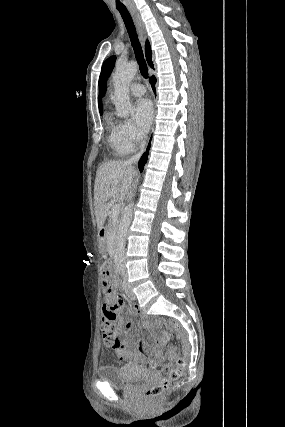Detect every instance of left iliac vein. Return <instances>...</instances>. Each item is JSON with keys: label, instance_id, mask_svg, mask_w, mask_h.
<instances>
[{"label": "left iliac vein", "instance_id": "1", "mask_svg": "<svg viewBox=\"0 0 285 427\" xmlns=\"http://www.w3.org/2000/svg\"><path fill=\"white\" fill-rule=\"evenodd\" d=\"M124 290L126 292V294L132 299L135 300L136 299V295L133 292L132 288L130 287V285L128 284V282L126 281V279L124 280Z\"/></svg>", "mask_w": 285, "mask_h": 427}]
</instances>
